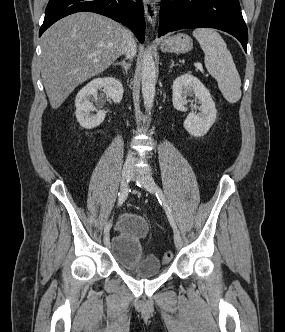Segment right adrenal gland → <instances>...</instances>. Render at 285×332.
<instances>
[{
    "label": "right adrenal gland",
    "instance_id": "2a0ac1e0",
    "mask_svg": "<svg viewBox=\"0 0 285 332\" xmlns=\"http://www.w3.org/2000/svg\"><path fill=\"white\" fill-rule=\"evenodd\" d=\"M114 65H120L126 74L128 73V71L131 67L130 62H126L125 60H123L122 62H116V63H114Z\"/></svg>",
    "mask_w": 285,
    "mask_h": 332
}]
</instances>
